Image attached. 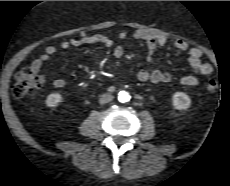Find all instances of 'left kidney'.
Listing matches in <instances>:
<instances>
[{"instance_id": "1", "label": "left kidney", "mask_w": 230, "mask_h": 186, "mask_svg": "<svg viewBox=\"0 0 230 186\" xmlns=\"http://www.w3.org/2000/svg\"><path fill=\"white\" fill-rule=\"evenodd\" d=\"M172 103L177 110H186L190 107L191 99L184 92H176L173 94Z\"/></svg>"}]
</instances>
